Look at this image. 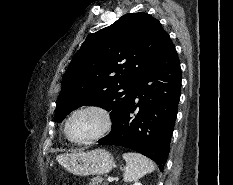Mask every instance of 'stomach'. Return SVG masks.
<instances>
[{
  "instance_id": "0dacf381",
  "label": "stomach",
  "mask_w": 233,
  "mask_h": 185,
  "mask_svg": "<svg viewBox=\"0 0 233 185\" xmlns=\"http://www.w3.org/2000/svg\"><path fill=\"white\" fill-rule=\"evenodd\" d=\"M59 164L77 176L102 175L114 167V158L105 149L76 150L57 157Z\"/></svg>"
}]
</instances>
